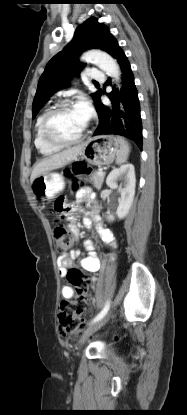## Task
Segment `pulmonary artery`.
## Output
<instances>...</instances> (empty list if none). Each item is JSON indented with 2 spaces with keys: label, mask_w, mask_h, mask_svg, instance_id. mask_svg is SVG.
I'll list each match as a JSON object with an SVG mask.
<instances>
[{
  "label": "pulmonary artery",
  "mask_w": 187,
  "mask_h": 415,
  "mask_svg": "<svg viewBox=\"0 0 187 415\" xmlns=\"http://www.w3.org/2000/svg\"><path fill=\"white\" fill-rule=\"evenodd\" d=\"M89 76L94 82H102L104 80V73L96 68L89 70Z\"/></svg>",
  "instance_id": "e3ab8cb5"
}]
</instances>
